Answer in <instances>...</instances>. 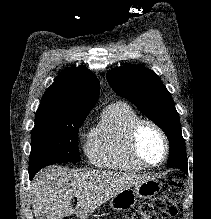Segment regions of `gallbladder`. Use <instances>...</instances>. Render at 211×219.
I'll return each mask as SVG.
<instances>
[{
	"instance_id": "1",
	"label": "gallbladder",
	"mask_w": 211,
	"mask_h": 219,
	"mask_svg": "<svg viewBox=\"0 0 211 219\" xmlns=\"http://www.w3.org/2000/svg\"><path fill=\"white\" fill-rule=\"evenodd\" d=\"M41 219H47L45 216H43Z\"/></svg>"
}]
</instances>
